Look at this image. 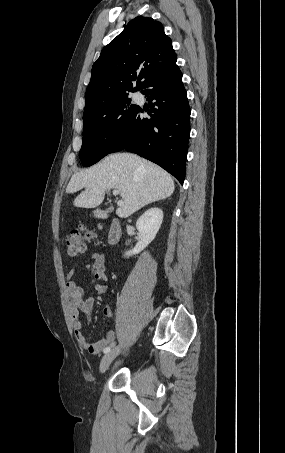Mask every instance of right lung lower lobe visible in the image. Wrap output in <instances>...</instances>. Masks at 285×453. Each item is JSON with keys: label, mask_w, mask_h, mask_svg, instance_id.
Returning <instances> with one entry per match:
<instances>
[{"label": "right lung lower lobe", "mask_w": 285, "mask_h": 453, "mask_svg": "<svg viewBox=\"0 0 285 453\" xmlns=\"http://www.w3.org/2000/svg\"><path fill=\"white\" fill-rule=\"evenodd\" d=\"M152 104L143 118L139 107L110 153L126 149L164 168L183 184L190 108L177 65L150 79L142 91Z\"/></svg>", "instance_id": "98d812e1"}]
</instances>
